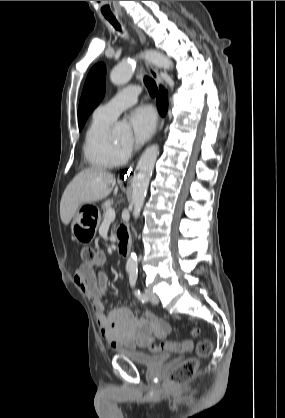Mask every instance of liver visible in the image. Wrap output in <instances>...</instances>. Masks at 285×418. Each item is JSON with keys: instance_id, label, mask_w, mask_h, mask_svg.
Segmentation results:
<instances>
[{"instance_id": "obj_1", "label": "liver", "mask_w": 285, "mask_h": 418, "mask_svg": "<svg viewBox=\"0 0 285 418\" xmlns=\"http://www.w3.org/2000/svg\"><path fill=\"white\" fill-rule=\"evenodd\" d=\"M116 181L113 174L101 168H88L79 172L66 187L60 202V217L68 225L82 204L94 203L106 198ZM118 187L115 186L114 195Z\"/></svg>"}]
</instances>
